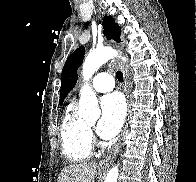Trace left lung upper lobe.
Returning <instances> with one entry per match:
<instances>
[{
	"mask_svg": "<svg viewBox=\"0 0 196 182\" xmlns=\"http://www.w3.org/2000/svg\"><path fill=\"white\" fill-rule=\"evenodd\" d=\"M104 35L107 39H113L120 42L121 29L111 16H105L103 19ZM85 54V48L79 47L72 53L62 70L61 74V89H60V105H62L65 97L73 89L77 83L78 75L77 70L81 66Z\"/></svg>",
	"mask_w": 196,
	"mask_h": 182,
	"instance_id": "obj_1",
	"label": "left lung upper lobe"
}]
</instances>
